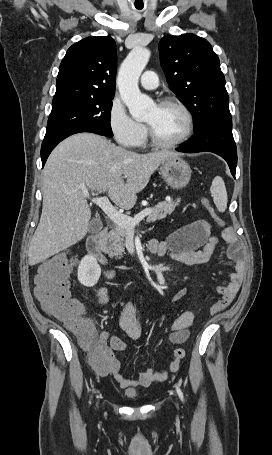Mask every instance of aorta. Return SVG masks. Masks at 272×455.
<instances>
[{"label":"aorta","mask_w":272,"mask_h":455,"mask_svg":"<svg viewBox=\"0 0 272 455\" xmlns=\"http://www.w3.org/2000/svg\"><path fill=\"white\" fill-rule=\"evenodd\" d=\"M150 58L147 48L135 47L123 61L117 78L122 101L136 120H143L154 108L153 100L142 94L138 87L139 77Z\"/></svg>","instance_id":"762f6f07"}]
</instances>
